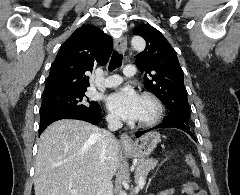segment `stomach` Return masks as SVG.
<instances>
[{
  "label": "stomach",
  "instance_id": "stomach-1",
  "mask_svg": "<svg viewBox=\"0 0 240 195\" xmlns=\"http://www.w3.org/2000/svg\"><path fill=\"white\" fill-rule=\"evenodd\" d=\"M159 141H161V137L158 131H148V133H144V135L135 139L133 145L123 147V149L127 155H132L137 159H149L150 153L154 151Z\"/></svg>",
  "mask_w": 240,
  "mask_h": 195
}]
</instances>
